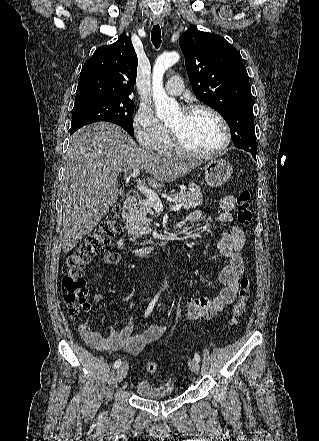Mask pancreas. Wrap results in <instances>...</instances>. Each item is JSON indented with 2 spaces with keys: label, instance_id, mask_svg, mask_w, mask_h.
Masks as SVG:
<instances>
[{
  "label": "pancreas",
  "instance_id": "1",
  "mask_svg": "<svg viewBox=\"0 0 319 441\" xmlns=\"http://www.w3.org/2000/svg\"><path fill=\"white\" fill-rule=\"evenodd\" d=\"M189 189V191L180 190V192L171 195L173 202L181 204L185 210L197 208L203 203V194L200 186L190 183ZM153 209V204L149 199H146L139 203L138 208L133 210L127 223L128 234L132 238H140L152 232L150 227L151 219L148 217V214H152Z\"/></svg>",
  "mask_w": 319,
  "mask_h": 441
}]
</instances>
